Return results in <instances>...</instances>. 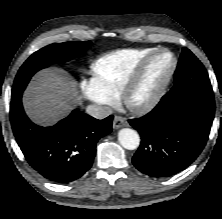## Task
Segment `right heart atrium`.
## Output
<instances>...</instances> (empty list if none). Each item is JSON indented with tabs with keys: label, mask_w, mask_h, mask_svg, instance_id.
<instances>
[{
	"label": "right heart atrium",
	"mask_w": 222,
	"mask_h": 219,
	"mask_svg": "<svg viewBox=\"0 0 222 219\" xmlns=\"http://www.w3.org/2000/svg\"><path fill=\"white\" fill-rule=\"evenodd\" d=\"M80 91L84 95V97L96 103L100 107L109 108L113 105V101L109 100L108 98L100 95L95 91L91 82L82 81L80 83Z\"/></svg>",
	"instance_id": "1"
}]
</instances>
